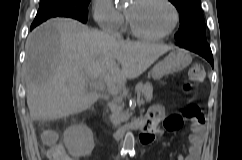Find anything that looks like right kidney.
<instances>
[{
  "label": "right kidney",
  "instance_id": "1",
  "mask_svg": "<svg viewBox=\"0 0 242 160\" xmlns=\"http://www.w3.org/2000/svg\"><path fill=\"white\" fill-rule=\"evenodd\" d=\"M64 144L73 157L88 156L94 149L93 133L83 125H72L63 134Z\"/></svg>",
  "mask_w": 242,
  "mask_h": 160
}]
</instances>
